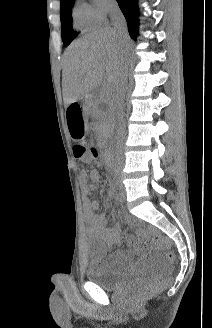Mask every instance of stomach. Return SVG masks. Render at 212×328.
Returning <instances> with one entry per match:
<instances>
[{
	"label": "stomach",
	"instance_id": "1",
	"mask_svg": "<svg viewBox=\"0 0 212 328\" xmlns=\"http://www.w3.org/2000/svg\"><path fill=\"white\" fill-rule=\"evenodd\" d=\"M82 102H69L65 109V116L67 117L66 127L68 134L71 135L72 140H83L85 135V124L83 116L85 110Z\"/></svg>",
	"mask_w": 212,
	"mask_h": 328
}]
</instances>
